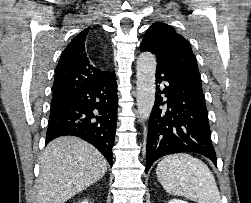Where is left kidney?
<instances>
[{"label": "left kidney", "mask_w": 251, "mask_h": 203, "mask_svg": "<svg viewBox=\"0 0 251 203\" xmlns=\"http://www.w3.org/2000/svg\"><path fill=\"white\" fill-rule=\"evenodd\" d=\"M168 203H188L180 199H171Z\"/></svg>", "instance_id": "5707ae66"}]
</instances>
